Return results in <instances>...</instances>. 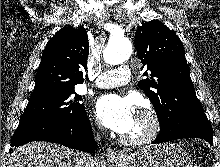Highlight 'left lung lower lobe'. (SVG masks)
<instances>
[{
  "mask_svg": "<svg viewBox=\"0 0 220 167\" xmlns=\"http://www.w3.org/2000/svg\"><path fill=\"white\" fill-rule=\"evenodd\" d=\"M182 138H201L213 145V132L205 113L186 117L168 129H160V133L153 143H163Z\"/></svg>",
  "mask_w": 220,
  "mask_h": 167,
  "instance_id": "0a47b994",
  "label": "left lung lower lobe"
}]
</instances>
